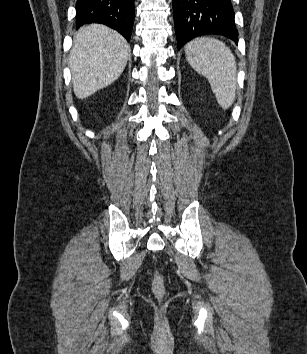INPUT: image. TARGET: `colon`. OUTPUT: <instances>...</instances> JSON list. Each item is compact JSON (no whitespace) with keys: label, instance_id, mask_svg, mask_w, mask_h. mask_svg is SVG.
I'll list each match as a JSON object with an SVG mask.
<instances>
[{"label":"colon","instance_id":"obj_1","mask_svg":"<svg viewBox=\"0 0 307 354\" xmlns=\"http://www.w3.org/2000/svg\"><path fill=\"white\" fill-rule=\"evenodd\" d=\"M152 291L154 295L158 298H161L165 292L163 277L158 272H155L153 276Z\"/></svg>","mask_w":307,"mask_h":354}]
</instances>
